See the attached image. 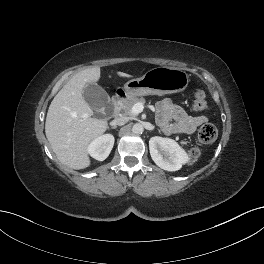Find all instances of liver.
<instances>
[{
    "label": "liver",
    "instance_id": "liver-1",
    "mask_svg": "<svg viewBox=\"0 0 264 264\" xmlns=\"http://www.w3.org/2000/svg\"><path fill=\"white\" fill-rule=\"evenodd\" d=\"M120 77L130 75L117 72ZM100 79V67L75 74L52 100L46 117L45 133L58 160L73 169L87 168L91 161L88 145L107 129V121L93 117L83 97L87 84Z\"/></svg>",
    "mask_w": 264,
    "mask_h": 264
}]
</instances>
